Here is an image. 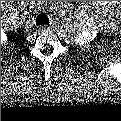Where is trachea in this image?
Masks as SVG:
<instances>
[{
    "instance_id": "trachea-1",
    "label": "trachea",
    "mask_w": 121,
    "mask_h": 121,
    "mask_svg": "<svg viewBox=\"0 0 121 121\" xmlns=\"http://www.w3.org/2000/svg\"><path fill=\"white\" fill-rule=\"evenodd\" d=\"M36 24L37 25H48L49 24V18L45 13H41L36 18Z\"/></svg>"
}]
</instances>
